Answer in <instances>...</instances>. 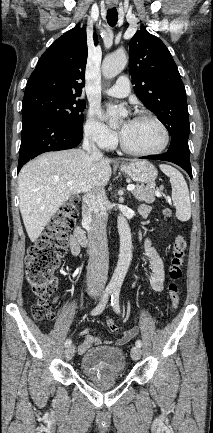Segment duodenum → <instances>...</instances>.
Returning a JSON list of instances; mask_svg holds the SVG:
<instances>
[{
    "label": "duodenum",
    "instance_id": "obj_1",
    "mask_svg": "<svg viewBox=\"0 0 213 433\" xmlns=\"http://www.w3.org/2000/svg\"><path fill=\"white\" fill-rule=\"evenodd\" d=\"M73 236L80 246L84 247L88 245V238L86 232L81 226L75 227Z\"/></svg>",
    "mask_w": 213,
    "mask_h": 433
}]
</instances>
